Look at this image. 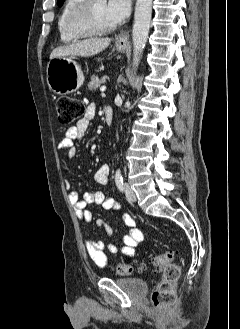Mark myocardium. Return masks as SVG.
<instances>
[{
  "label": "myocardium",
  "instance_id": "obj_1",
  "mask_svg": "<svg viewBox=\"0 0 240 329\" xmlns=\"http://www.w3.org/2000/svg\"><path fill=\"white\" fill-rule=\"evenodd\" d=\"M95 0H80L71 10L67 18V28L77 37H88L113 31L116 24L99 26L93 17V4Z\"/></svg>",
  "mask_w": 240,
  "mask_h": 329
}]
</instances>
